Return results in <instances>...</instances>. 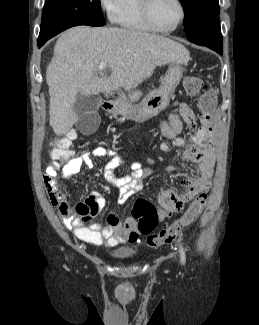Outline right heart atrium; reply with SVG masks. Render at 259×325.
Here are the masks:
<instances>
[{
  "label": "right heart atrium",
  "mask_w": 259,
  "mask_h": 325,
  "mask_svg": "<svg viewBox=\"0 0 259 325\" xmlns=\"http://www.w3.org/2000/svg\"><path fill=\"white\" fill-rule=\"evenodd\" d=\"M101 9L105 14L113 19L120 4V0H98Z\"/></svg>",
  "instance_id": "d8ad5b80"
}]
</instances>
